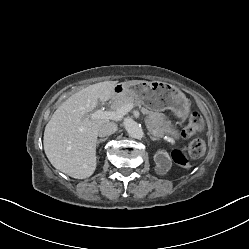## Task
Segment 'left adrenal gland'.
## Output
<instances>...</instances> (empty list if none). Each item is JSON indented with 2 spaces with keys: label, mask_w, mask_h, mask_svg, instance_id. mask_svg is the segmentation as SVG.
Segmentation results:
<instances>
[{
  "label": "left adrenal gland",
  "mask_w": 249,
  "mask_h": 249,
  "mask_svg": "<svg viewBox=\"0 0 249 249\" xmlns=\"http://www.w3.org/2000/svg\"><path fill=\"white\" fill-rule=\"evenodd\" d=\"M150 139H151L152 141H159V140H160L159 138H156V137H153V136H150Z\"/></svg>",
  "instance_id": "a2214340"
}]
</instances>
